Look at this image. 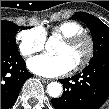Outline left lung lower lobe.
<instances>
[{
  "instance_id": "obj_1",
  "label": "left lung lower lobe",
  "mask_w": 109,
  "mask_h": 109,
  "mask_svg": "<svg viewBox=\"0 0 109 109\" xmlns=\"http://www.w3.org/2000/svg\"><path fill=\"white\" fill-rule=\"evenodd\" d=\"M59 81L65 91L52 99L55 109H99L109 97V53L92 58L82 73ZM75 87L80 88L81 96L70 102L67 93Z\"/></svg>"
}]
</instances>
